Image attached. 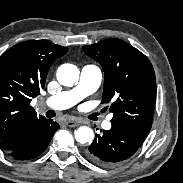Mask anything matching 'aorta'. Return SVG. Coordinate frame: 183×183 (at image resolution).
Listing matches in <instances>:
<instances>
[{"label":"aorta","instance_id":"762f6f07","mask_svg":"<svg viewBox=\"0 0 183 183\" xmlns=\"http://www.w3.org/2000/svg\"><path fill=\"white\" fill-rule=\"evenodd\" d=\"M79 69L72 64H62L57 70V80L63 86H73L79 80ZM75 139L81 144L92 143L94 132L88 126L79 127L75 132Z\"/></svg>","mask_w":183,"mask_h":183}]
</instances>
